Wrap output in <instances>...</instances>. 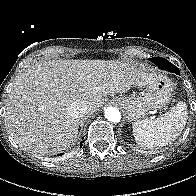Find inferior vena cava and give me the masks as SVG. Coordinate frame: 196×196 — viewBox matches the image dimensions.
I'll list each match as a JSON object with an SVG mask.
<instances>
[{"label":"inferior vena cava","mask_w":196,"mask_h":196,"mask_svg":"<svg viewBox=\"0 0 196 196\" xmlns=\"http://www.w3.org/2000/svg\"><path fill=\"white\" fill-rule=\"evenodd\" d=\"M87 110L88 108L86 104L75 102L69 106L68 113L71 117L79 119L86 114Z\"/></svg>","instance_id":"obj_1"}]
</instances>
